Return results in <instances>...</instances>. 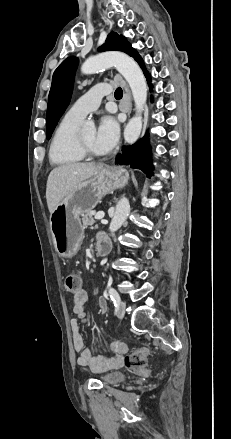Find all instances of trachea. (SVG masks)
<instances>
[{
	"mask_svg": "<svg viewBox=\"0 0 231 439\" xmlns=\"http://www.w3.org/2000/svg\"><path fill=\"white\" fill-rule=\"evenodd\" d=\"M114 96L116 99H121L123 96V91L120 87L115 90Z\"/></svg>",
	"mask_w": 231,
	"mask_h": 439,
	"instance_id": "obj_1",
	"label": "trachea"
}]
</instances>
